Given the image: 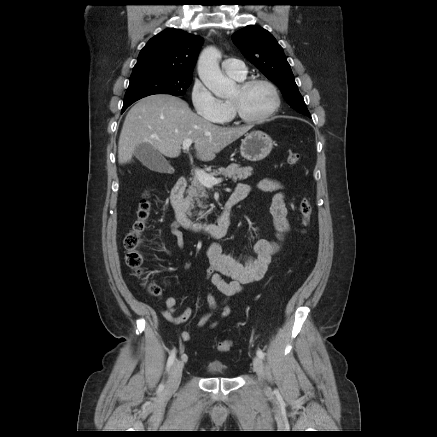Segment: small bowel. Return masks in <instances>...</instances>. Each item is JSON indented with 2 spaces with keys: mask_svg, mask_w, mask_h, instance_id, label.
<instances>
[{
  "mask_svg": "<svg viewBox=\"0 0 437 437\" xmlns=\"http://www.w3.org/2000/svg\"><path fill=\"white\" fill-rule=\"evenodd\" d=\"M258 188L264 192H275L270 211L273 217L274 226L277 232L278 241H270L259 239L252 245V254L244 260H239L229 254L221 251L216 244L211 245L207 250L208 268L206 276L210 284L216 288L222 295L223 299L218 302L212 293H208L206 297L210 312L204 314L198 323V327H204L211 318L214 311L220 309L221 317L225 318L230 314L229 300L232 296L241 292L244 285L260 280L266 273L272 256L279 250L280 241L289 230L287 220V207L284 200L283 186L280 182L273 179H263L259 182ZM250 192V186L247 184H239L234 195L240 200L247 197ZM171 233L176 239V244L179 249L183 247V234L180 230L179 223L175 220L171 224ZM225 277L231 280L226 281ZM166 308L162 311L163 316L174 324H181L188 321L193 313L191 308L185 309L182 313L177 314L175 311L176 299L168 297L165 300ZM218 322H213L210 327L215 328ZM183 341L190 339V334L187 331L181 332Z\"/></svg>",
  "mask_w": 437,
  "mask_h": 437,
  "instance_id": "1",
  "label": "small bowel"
}]
</instances>
